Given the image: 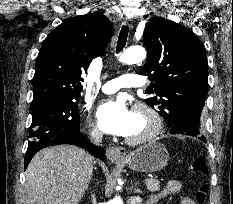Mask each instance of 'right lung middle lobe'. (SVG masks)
Segmentation results:
<instances>
[{
    "mask_svg": "<svg viewBox=\"0 0 233 204\" xmlns=\"http://www.w3.org/2000/svg\"><path fill=\"white\" fill-rule=\"evenodd\" d=\"M29 151L42 147L63 133H79L78 99L54 100L32 105Z\"/></svg>",
    "mask_w": 233,
    "mask_h": 204,
    "instance_id": "right-lung-middle-lobe-1",
    "label": "right lung middle lobe"
}]
</instances>
